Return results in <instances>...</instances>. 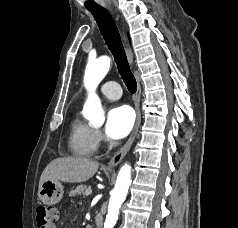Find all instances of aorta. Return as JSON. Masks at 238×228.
<instances>
[{"instance_id":"aorta-1","label":"aorta","mask_w":238,"mask_h":228,"mask_svg":"<svg viewBox=\"0 0 238 228\" xmlns=\"http://www.w3.org/2000/svg\"><path fill=\"white\" fill-rule=\"evenodd\" d=\"M111 59L102 56L88 62L84 75V86L88 91V97L84 104L83 114L86 119L93 123H103L104 111L96 88L103 80L110 68ZM131 184V166L124 164L117 176L116 184L111 192L108 204V213L104 222V228H113L117 222L119 209L124 202Z\"/></svg>"}]
</instances>
